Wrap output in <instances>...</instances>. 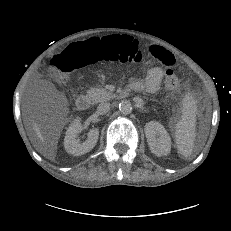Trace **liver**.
<instances>
[{
  "mask_svg": "<svg viewBox=\"0 0 231 231\" xmlns=\"http://www.w3.org/2000/svg\"><path fill=\"white\" fill-rule=\"evenodd\" d=\"M34 131L36 136L38 137L41 145L38 147V151L43 154V156L48 157L49 159H53L55 157V147H50L47 145L45 138L43 137L38 125L36 123L33 124Z\"/></svg>",
  "mask_w": 231,
  "mask_h": 231,
  "instance_id": "1",
  "label": "liver"
}]
</instances>
